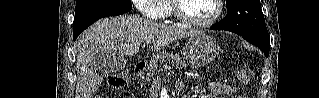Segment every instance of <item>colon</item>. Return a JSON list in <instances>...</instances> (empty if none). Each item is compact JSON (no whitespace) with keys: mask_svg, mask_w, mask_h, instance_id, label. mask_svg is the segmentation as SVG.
I'll return each instance as SVG.
<instances>
[{"mask_svg":"<svg viewBox=\"0 0 319 98\" xmlns=\"http://www.w3.org/2000/svg\"><path fill=\"white\" fill-rule=\"evenodd\" d=\"M244 73H238V78H243ZM129 83V77L125 72L111 75L108 78V84L111 88L121 91L120 98H130V94L125 91ZM101 98V97H99Z\"/></svg>","mask_w":319,"mask_h":98,"instance_id":"1","label":"colon"}]
</instances>
